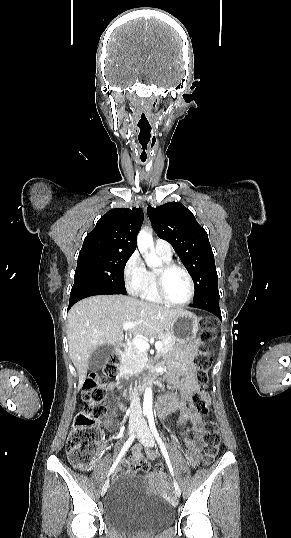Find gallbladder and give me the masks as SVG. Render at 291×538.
<instances>
[{"label":"gallbladder","instance_id":"bac80fb5","mask_svg":"<svg viewBox=\"0 0 291 538\" xmlns=\"http://www.w3.org/2000/svg\"><path fill=\"white\" fill-rule=\"evenodd\" d=\"M114 352V346L111 345H102L96 348L89 357V364L88 368L90 371H98L100 370L107 360L109 359L110 355H112Z\"/></svg>","mask_w":291,"mask_h":538}]
</instances>
